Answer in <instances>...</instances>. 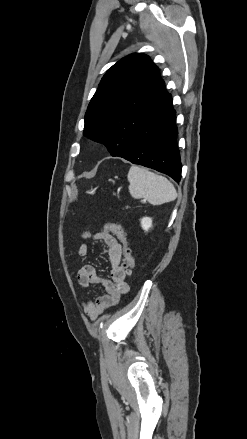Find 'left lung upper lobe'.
Masks as SVG:
<instances>
[{
  "instance_id": "obj_1",
  "label": "left lung upper lobe",
  "mask_w": 247,
  "mask_h": 439,
  "mask_svg": "<svg viewBox=\"0 0 247 439\" xmlns=\"http://www.w3.org/2000/svg\"><path fill=\"white\" fill-rule=\"evenodd\" d=\"M171 95L159 69L141 53L114 64L102 78L85 114L83 134L124 156L143 123Z\"/></svg>"
}]
</instances>
